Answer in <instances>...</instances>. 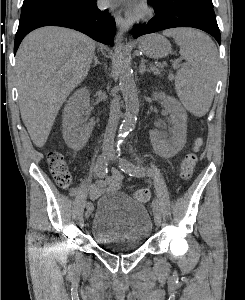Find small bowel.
I'll return each mask as SVG.
<instances>
[{"label":"small bowel","instance_id":"small-bowel-1","mask_svg":"<svg viewBox=\"0 0 245 300\" xmlns=\"http://www.w3.org/2000/svg\"><path fill=\"white\" fill-rule=\"evenodd\" d=\"M122 183V174L117 170H113L112 174L105 179H100L96 183L82 187L74 188L70 191L71 197L79 196L83 193H88L91 199H96L104 193L116 191Z\"/></svg>","mask_w":245,"mask_h":300}]
</instances>
